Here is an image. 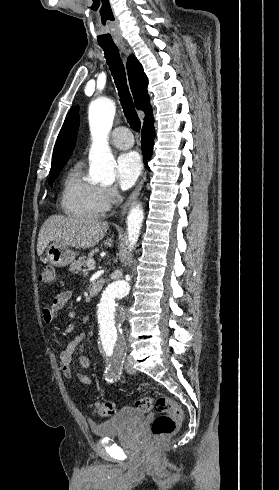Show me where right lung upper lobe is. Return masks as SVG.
Segmentation results:
<instances>
[{
    "mask_svg": "<svg viewBox=\"0 0 279 490\" xmlns=\"http://www.w3.org/2000/svg\"><path fill=\"white\" fill-rule=\"evenodd\" d=\"M128 78L132 94L139 110L145 112L143 128L153 126L154 119L147 92L148 80L139 61L130 55L127 62ZM79 127L78 107H74L68 113L60 130L53 151L51 170L64 166L73 148L75 147L77 130Z\"/></svg>",
    "mask_w": 279,
    "mask_h": 490,
    "instance_id": "1",
    "label": "right lung upper lobe"
}]
</instances>
